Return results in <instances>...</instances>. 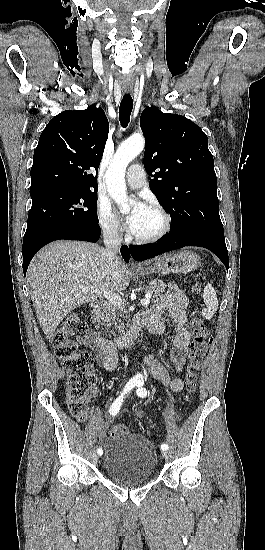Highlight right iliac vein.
<instances>
[{"instance_id":"obj_1","label":"right iliac vein","mask_w":265,"mask_h":550,"mask_svg":"<svg viewBox=\"0 0 265 550\" xmlns=\"http://www.w3.org/2000/svg\"><path fill=\"white\" fill-rule=\"evenodd\" d=\"M92 458H93L94 461H97L98 455H97L96 452H94V453L92 454Z\"/></svg>"}]
</instances>
